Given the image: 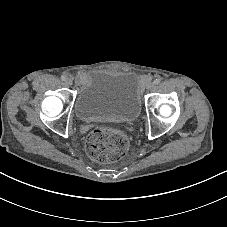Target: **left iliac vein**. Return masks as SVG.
Here are the masks:
<instances>
[{
	"label": "left iliac vein",
	"mask_w": 227,
	"mask_h": 227,
	"mask_svg": "<svg viewBox=\"0 0 227 227\" xmlns=\"http://www.w3.org/2000/svg\"><path fill=\"white\" fill-rule=\"evenodd\" d=\"M153 87H154V83H152V82L147 85L148 89H152Z\"/></svg>",
	"instance_id": "left-iliac-vein-1"
}]
</instances>
